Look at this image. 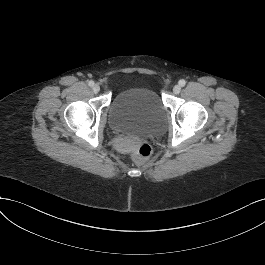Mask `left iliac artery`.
<instances>
[{
	"label": "left iliac artery",
	"instance_id": "left-iliac-artery-1",
	"mask_svg": "<svg viewBox=\"0 0 265 265\" xmlns=\"http://www.w3.org/2000/svg\"><path fill=\"white\" fill-rule=\"evenodd\" d=\"M178 83H179V85H180L181 87H183V86H185L186 81H185L184 79H181Z\"/></svg>",
	"mask_w": 265,
	"mask_h": 265
}]
</instances>
